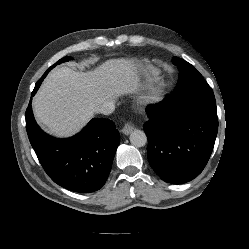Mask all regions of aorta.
Wrapping results in <instances>:
<instances>
[{
  "mask_svg": "<svg viewBox=\"0 0 249 249\" xmlns=\"http://www.w3.org/2000/svg\"><path fill=\"white\" fill-rule=\"evenodd\" d=\"M130 142L135 147H143L147 143V136L144 131L134 130L130 134Z\"/></svg>",
  "mask_w": 249,
  "mask_h": 249,
  "instance_id": "762f6f07",
  "label": "aorta"
}]
</instances>
